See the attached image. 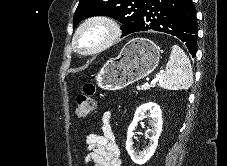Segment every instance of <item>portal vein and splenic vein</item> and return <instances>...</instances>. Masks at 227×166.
<instances>
[{"mask_svg":"<svg viewBox=\"0 0 227 166\" xmlns=\"http://www.w3.org/2000/svg\"><path fill=\"white\" fill-rule=\"evenodd\" d=\"M159 79V75L156 77V79H154L151 84H154L157 80ZM143 86H149V83L146 82Z\"/></svg>","mask_w":227,"mask_h":166,"instance_id":"portal-vein-and-splenic-vein-1","label":"portal vein and splenic vein"}]
</instances>
